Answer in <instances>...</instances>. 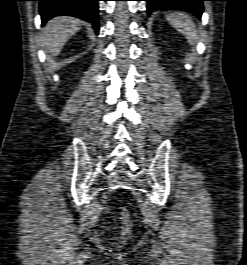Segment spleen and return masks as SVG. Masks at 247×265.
Wrapping results in <instances>:
<instances>
[{
  "mask_svg": "<svg viewBox=\"0 0 247 265\" xmlns=\"http://www.w3.org/2000/svg\"><path fill=\"white\" fill-rule=\"evenodd\" d=\"M166 20L179 32L184 34L191 44L198 40L195 23L183 12H173L167 15Z\"/></svg>",
  "mask_w": 247,
  "mask_h": 265,
  "instance_id": "spleen-1",
  "label": "spleen"
}]
</instances>
